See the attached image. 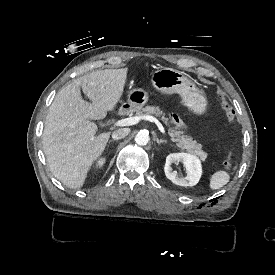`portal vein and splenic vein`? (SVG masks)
I'll use <instances>...</instances> for the list:
<instances>
[{"label":"portal vein and splenic vein","instance_id":"18ae733b","mask_svg":"<svg viewBox=\"0 0 275 275\" xmlns=\"http://www.w3.org/2000/svg\"><path fill=\"white\" fill-rule=\"evenodd\" d=\"M145 119L150 120L151 122H155L157 124L160 132L164 135H167L165 128L158 120H156V118H154L152 116H146ZM138 121H139V119L137 117H129V118H125V119H120L113 123L112 128L132 126V125L136 124Z\"/></svg>","mask_w":275,"mask_h":275}]
</instances>
